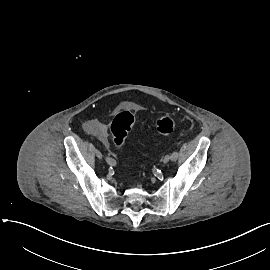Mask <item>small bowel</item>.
I'll return each mask as SVG.
<instances>
[{
  "label": "small bowel",
  "instance_id": "c3829d8e",
  "mask_svg": "<svg viewBox=\"0 0 270 270\" xmlns=\"http://www.w3.org/2000/svg\"><path fill=\"white\" fill-rule=\"evenodd\" d=\"M86 130L88 133L96 136L105 145L108 144V130L104 122L93 119L87 122Z\"/></svg>",
  "mask_w": 270,
  "mask_h": 270
}]
</instances>
